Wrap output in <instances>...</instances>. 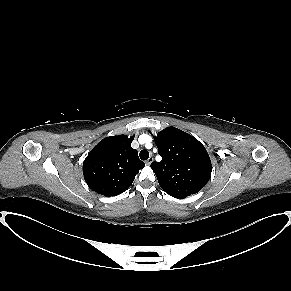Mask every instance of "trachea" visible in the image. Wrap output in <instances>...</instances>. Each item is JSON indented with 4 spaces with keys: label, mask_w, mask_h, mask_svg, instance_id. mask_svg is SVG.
Wrapping results in <instances>:
<instances>
[{
    "label": "trachea",
    "mask_w": 291,
    "mask_h": 291,
    "mask_svg": "<svg viewBox=\"0 0 291 291\" xmlns=\"http://www.w3.org/2000/svg\"><path fill=\"white\" fill-rule=\"evenodd\" d=\"M139 156L141 160H147L149 158V152L147 150H142Z\"/></svg>",
    "instance_id": "obj_1"
}]
</instances>
